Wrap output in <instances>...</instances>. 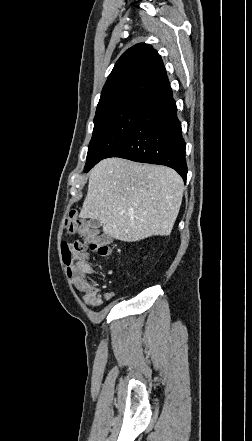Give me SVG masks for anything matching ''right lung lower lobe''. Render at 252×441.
Masks as SVG:
<instances>
[{"label": "right lung lower lobe", "instance_id": "right-lung-lower-lobe-1", "mask_svg": "<svg viewBox=\"0 0 252 441\" xmlns=\"http://www.w3.org/2000/svg\"><path fill=\"white\" fill-rule=\"evenodd\" d=\"M176 113V102L168 84L146 98L135 126L105 158L165 165L176 170L186 182V143Z\"/></svg>", "mask_w": 252, "mask_h": 441}]
</instances>
